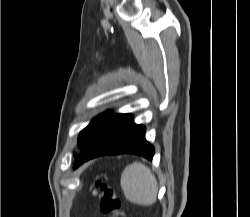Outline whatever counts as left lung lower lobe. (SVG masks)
Returning <instances> with one entry per match:
<instances>
[{"label":"left lung lower lobe","instance_id":"obj_1","mask_svg":"<svg viewBox=\"0 0 250 217\" xmlns=\"http://www.w3.org/2000/svg\"><path fill=\"white\" fill-rule=\"evenodd\" d=\"M135 154L151 160L154 147L145 139V128L136 125L128 114L113 115L81 150L74 163L76 169L83 162L102 155Z\"/></svg>","mask_w":250,"mask_h":217}]
</instances>
